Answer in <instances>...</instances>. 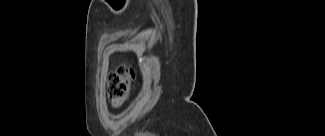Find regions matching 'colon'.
Segmentation results:
<instances>
[{"instance_id": "5ec220e1", "label": "colon", "mask_w": 325, "mask_h": 136, "mask_svg": "<svg viewBox=\"0 0 325 136\" xmlns=\"http://www.w3.org/2000/svg\"><path fill=\"white\" fill-rule=\"evenodd\" d=\"M133 77V71L126 67H119L108 76L107 91L114 107L125 102Z\"/></svg>"}]
</instances>
